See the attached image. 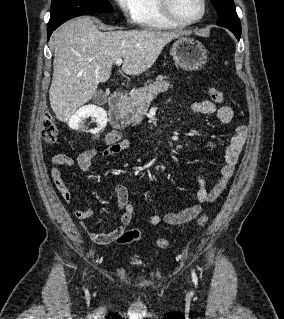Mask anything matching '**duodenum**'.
Here are the masks:
<instances>
[{"label":"duodenum","mask_w":284,"mask_h":319,"mask_svg":"<svg viewBox=\"0 0 284 319\" xmlns=\"http://www.w3.org/2000/svg\"><path fill=\"white\" fill-rule=\"evenodd\" d=\"M126 94L121 90H115L109 97V120L113 128L121 130L125 127V121L121 114V107L126 101Z\"/></svg>","instance_id":"410a0bca"}]
</instances>
